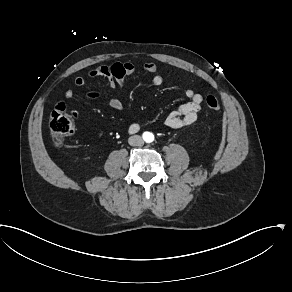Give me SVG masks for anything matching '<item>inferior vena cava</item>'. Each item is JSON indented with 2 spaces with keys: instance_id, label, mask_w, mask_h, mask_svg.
Masks as SVG:
<instances>
[{
  "instance_id": "602c4592",
  "label": "inferior vena cava",
  "mask_w": 292,
  "mask_h": 292,
  "mask_svg": "<svg viewBox=\"0 0 292 292\" xmlns=\"http://www.w3.org/2000/svg\"><path fill=\"white\" fill-rule=\"evenodd\" d=\"M128 143L132 146H141L144 144V140L141 136L134 135L129 137Z\"/></svg>"
}]
</instances>
